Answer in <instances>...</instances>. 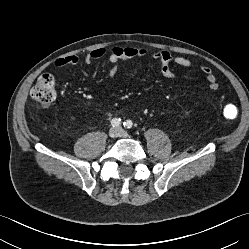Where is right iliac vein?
I'll return each mask as SVG.
<instances>
[{"mask_svg":"<svg viewBox=\"0 0 249 249\" xmlns=\"http://www.w3.org/2000/svg\"><path fill=\"white\" fill-rule=\"evenodd\" d=\"M118 134H119V130H118L117 128H111V129L109 130V136H110L111 138L117 137Z\"/></svg>","mask_w":249,"mask_h":249,"instance_id":"63e3f726","label":"right iliac vein"}]
</instances>
